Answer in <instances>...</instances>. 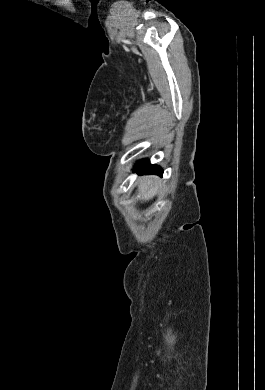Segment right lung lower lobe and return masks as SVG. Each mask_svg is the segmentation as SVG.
Returning <instances> with one entry per match:
<instances>
[{
  "label": "right lung lower lobe",
  "instance_id": "98d812e1",
  "mask_svg": "<svg viewBox=\"0 0 265 390\" xmlns=\"http://www.w3.org/2000/svg\"><path fill=\"white\" fill-rule=\"evenodd\" d=\"M135 171L146 174H158L160 176L163 174V170L159 166L151 165L147 160L138 162L137 167H135Z\"/></svg>",
  "mask_w": 265,
  "mask_h": 390
}]
</instances>
